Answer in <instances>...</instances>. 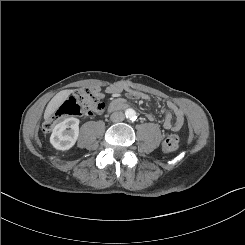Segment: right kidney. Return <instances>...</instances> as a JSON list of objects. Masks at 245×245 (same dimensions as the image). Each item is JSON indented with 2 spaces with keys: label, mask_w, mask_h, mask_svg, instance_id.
Listing matches in <instances>:
<instances>
[{
  "label": "right kidney",
  "mask_w": 245,
  "mask_h": 245,
  "mask_svg": "<svg viewBox=\"0 0 245 245\" xmlns=\"http://www.w3.org/2000/svg\"><path fill=\"white\" fill-rule=\"evenodd\" d=\"M79 136V119L70 117L57 124L50 137V143L57 150H69Z\"/></svg>",
  "instance_id": "ca27d5eb"
}]
</instances>
